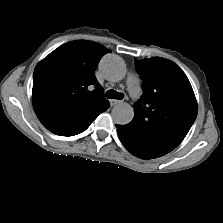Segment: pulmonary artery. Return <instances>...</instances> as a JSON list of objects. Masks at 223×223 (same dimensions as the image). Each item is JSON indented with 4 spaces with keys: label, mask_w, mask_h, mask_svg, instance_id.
<instances>
[{
    "label": "pulmonary artery",
    "mask_w": 223,
    "mask_h": 223,
    "mask_svg": "<svg viewBox=\"0 0 223 223\" xmlns=\"http://www.w3.org/2000/svg\"><path fill=\"white\" fill-rule=\"evenodd\" d=\"M127 89L133 98H138L140 96V79L137 75H130L127 79Z\"/></svg>",
    "instance_id": "pulmonary-artery-1"
}]
</instances>
